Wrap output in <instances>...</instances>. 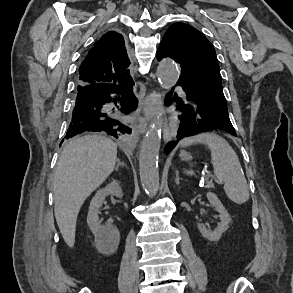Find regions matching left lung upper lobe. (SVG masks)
Instances as JSON below:
<instances>
[{"instance_id": "left-lung-upper-lobe-1", "label": "left lung upper lobe", "mask_w": 293, "mask_h": 293, "mask_svg": "<svg viewBox=\"0 0 293 293\" xmlns=\"http://www.w3.org/2000/svg\"><path fill=\"white\" fill-rule=\"evenodd\" d=\"M163 57L181 65L177 85L207 102L227 107L215 49L201 32L184 23L171 25L157 52L159 60Z\"/></svg>"}]
</instances>
